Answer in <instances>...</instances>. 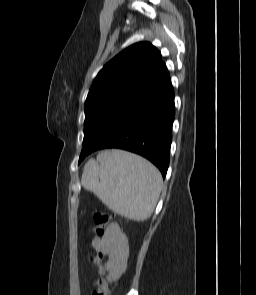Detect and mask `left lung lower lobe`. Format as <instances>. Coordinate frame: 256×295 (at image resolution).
Instances as JSON below:
<instances>
[{"label":"left lung lower lobe","mask_w":256,"mask_h":295,"mask_svg":"<svg viewBox=\"0 0 256 295\" xmlns=\"http://www.w3.org/2000/svg\"><path fill=\"white\" fill-rule=\"evenodd\" d=\"M174 115V91L170 82L157 95L121 119L97 143L83 149L79 163L96 150L119 148L144 156L165 177Z\"/></svg>","instance_id":"obj_1"}]
</instances>
